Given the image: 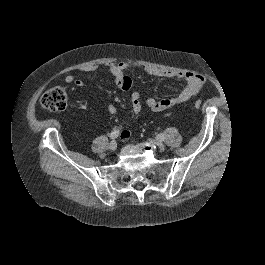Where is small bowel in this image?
Returning a JSON list of instances; mask_svg holds the SVG:
<instances>
[{
    "label": "small bowel",
    "instance_id": "obj_1",
    "mask_svg": "<svg viewBox=\"0 0 265 265\" xmlns=\"http://www.w3.org/2000/svg\"><path fill=\"white\" fill-rule=\"evenodd\" d=\"M129 68H143L147 74L152 76L175 78L186 82V86L176 96L160 100H156L154 98L143 99L139 91H134L131 95V106L135 113H139L142 110L143 105H145L150 112H163L169 110L196 96L202 90L205 84V79L203 76L191 72L142 67L140 64L130 62L107 64V71L114 78L117 87L122 91H129L133 86L132 79L125 74L126 70ZM97 69L98 67L96 65H87L81 67L79 70L80 72L86 73L94 72ZM65 82L68 84H74L77 87H82L84 85L83 81L78 76L73 74L67 75L65 77ZM107 111L110 115L117 114V108L112 103H107ZM129 135L130 132L124 131L122 132L121 136L122 138H127Z\"/></svg>",
    "mask_w": 265,
    "mask_h": 265
}]
</instances>
